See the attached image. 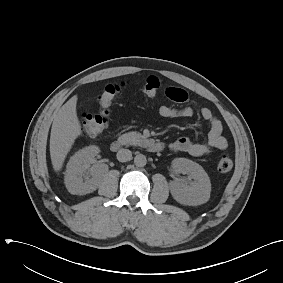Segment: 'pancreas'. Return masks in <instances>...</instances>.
<instances>
[{
	"label": "pancreas",
	"mask_w": 283,
	"mask_h": 283,
	"mask_svg": "<svg viewBox=\"0 0 283 283\" xmlns=\"http://www.w3.org/2000/svg\"><path fill=\"white\" fill-rule=\"evenodd\" d=\"M123 145H139L145 141V137L139 132H128L118 138Z\"/></svg>",
	"instance_id": "1"
}]
</instances>
